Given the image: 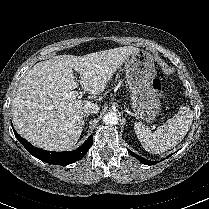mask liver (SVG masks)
<instances>
[{"label":"liver","instance_id":"1","mask_svg":"<svg viewBox=\"0 0 209 209\" xmlns=\"http://www.w3.org/2000/svg\"><path fill=\"white\" fill-rule=\"evenodd\" d=\"M139 49L124 46L84 56L58 55L35 64L21 79L11 101L19 134L34 146L49 151L71 150L83 130V106L88 100H68L63 93L78 87L91 99L104 91L112 75Z\"/></svg>","mask_w":209,"mask_h":209}]
</instances>
